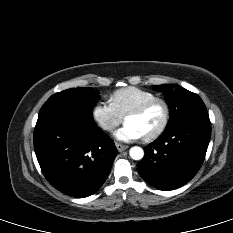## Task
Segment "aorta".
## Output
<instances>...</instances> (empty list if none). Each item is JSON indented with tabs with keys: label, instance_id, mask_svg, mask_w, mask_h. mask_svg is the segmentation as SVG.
Listing matches in <instances>:
<instances>
[{
	"label": "aorta",
	"instance_id": "obj_1",
	"mask_svg": "<svg viewBox=\"0 0 233 233\" xmlns=\"http://www.w3.org/2000/svg\"><path fill=\"white\" fill-rule=\"evenodd\" d=\"M129 154L133 160H140L144 156V151L141 147L134 146L129 150Z\"/></svg>",
	"mask_w": 233,
	"mask_h": 233
}]
</instances>
